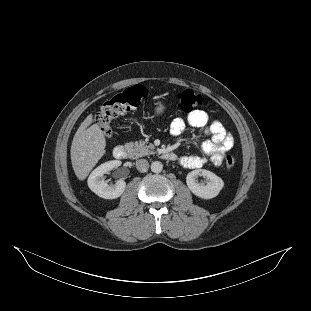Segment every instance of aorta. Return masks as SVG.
<instances>
[{"label": "aorta", "mask_w": 311, "mask_h": 311, "mask_svg": "<svg viewBox=\"0 0 311 311\" xmlns=\"http://www.w3.org/2000/svg\"><path fill=\"white\" fill-rule=\"evenodd\" d=\"M163 169V164L160 161H154L151 163V171L154 173H160Z\"/></svg>", "instance_id": "obj_1"}]
</instances>
